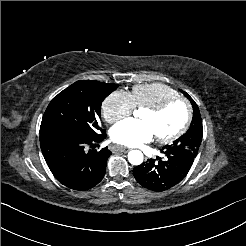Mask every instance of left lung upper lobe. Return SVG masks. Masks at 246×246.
Returning <instances> with one entry per match:
<instances>
[{"label":"left lung upper lobe","instance_id":"obj_1","mask_svg":"<svg viewBox=\"0 0 246 246\" xmlns=\"http://www.w3.org/2000/svg\"><path fill=\"white\" fill-rule=\"evenodd\" d=\"M181 92L190 100L193 106V119L189 130L180 138L175 140L173 144L167 145L164 148L184 149L190 151L193 155H197L203 135L202 119L199 108L194 100L184 91Z\"/></svg>","mask_w":246,"mask_h":246}]
</instances>
